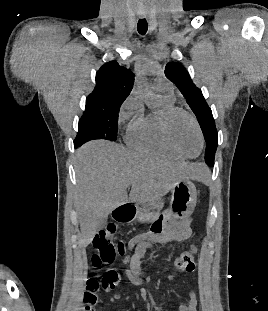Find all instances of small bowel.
<instances>
[{"label":"small bowel","instance_id":"small-bowel-1","mask_svg":"<svg viewBox=\"0 0 268 311\" xmlns=\"http://www.w3.org/2000/svg\"><path fill=\"white\" fill-rule=\"evenodd\" d=\"M192 229L190 221H184L179 224L173 222H164L163 219L156 221L151 231L132 238L127 246L129 252L133 254L126 260L127 266L125 274L128 280L137 286L143 285L145 282V274L140 267V261L144 257L148 249L153 248L157 244L165 245L171 242H183L190 238ZM145 298L147 294H144ZM188 301L179 306V311H196L198 299L193 290L188 291ZM119 293L113 295V299H118Z\"/></svg>","mask_w":268,"mask_h":311}]
</instances>
